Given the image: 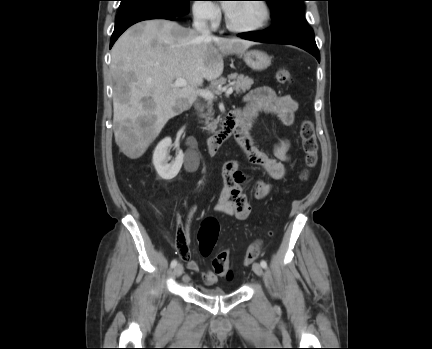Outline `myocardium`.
I'll return each instance as SVG.
<instances>
[{
    "mask_svg": "<svg viewBox=\"0 0 432 349\" xmlns=\"http://www.w3.org/2000/svg\"><path fill=\"white\" fill-rule=\"evenodd\" d=\"M255 1L260 3V5L264 11V16H263L262 20L254 26L241 27V26H237V25L233 24V22L231 21L229 15H228V12H226L225 13V24L229 30H231L233 32H237V33H252V32L260 31L268 25V23L271 20V16H272L269 3L266 0H255Z\"/></svg>",
    "mask_w": 432,
    "mask_h": 349,
    "instance_id": "1",
    "label": "myocardium"
}]
</instances>
